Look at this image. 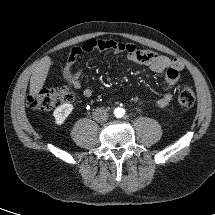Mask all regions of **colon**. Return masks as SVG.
<instances>
[{
	"instance_id": "colon-1",
	"label": "colon",
	"mask_w": 215,
	"mask_h": 215,
	"mask_svg": "<svg viewBox=\"0 0 215 215\" xmlns=\"http://www.w3.org/2000/svg\"><path fill=\"white\" fill-rule=\"evenodd\" d=\"M72 92L66 88H44L28 98L30 107L40 110H49L62 103L72 101ZM178 102L182 108H190L195 103V92L191 85L185 86L179 94Z\"/></svg>"
}]
</instances>
